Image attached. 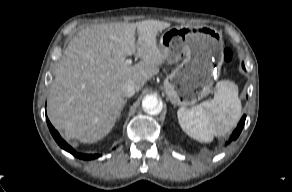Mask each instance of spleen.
Masks as SVG:
<instances>
[{"instance_id": "3e777b00", "label": "spleen", "mask_w": 292, "mask_h": 192, "mask_svg": "<svg viewBox=\"0 0 292 192\" xmlns=\"http://www.w3.org/2000/svg\"><path fill=\"white\" fill-rule=\"evenodd\" d=\"M177 117L182 130L200 142H211L214 136H224L241 117L238 86L228 80L219 81L214 98L191 108H179Z\"/></svg>"}]
</instances>
